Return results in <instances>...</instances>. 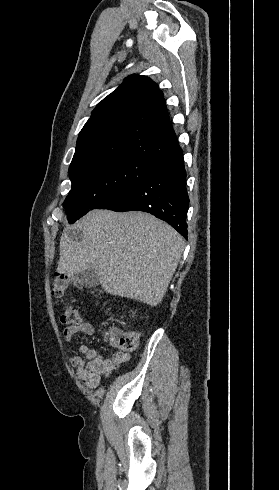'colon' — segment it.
<instances>
[{
    "instance_id": "5ec220e1",
    "label": "colon",
    "mask_w": 279,
    "mask_h": 490,
    "mask_svg": "<svg viewBox=\"0 0 279 490\" xmlns=\"http://www.w3.org/2000/svg\"><path fill=\"white\" fill-rule=\"evenodd\" d=\"M78 284L74 275L64 272L56 274L50 283V289L53 297L62 299L70 284ZM60 321L66 325H73L81 321L80 310L75 306H65L59 313ZM103 337L109 338L112 349H117L121 353H128L137 346L139 334L137 332H122V329L110 328L103 330Z\"/></svg>"
}]
</instances>
